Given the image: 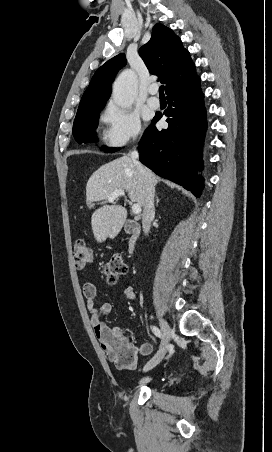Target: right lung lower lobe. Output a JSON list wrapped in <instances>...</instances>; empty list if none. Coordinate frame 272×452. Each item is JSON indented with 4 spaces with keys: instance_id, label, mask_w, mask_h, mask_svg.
Masks as SVG:
<instances>
[{
    "instance_id": "1",
    "label": "right lung lower lobe",
    "mask_w": 272,
    "mask_h": 452,
    "mask_svg": "<svg viewBox=\"0 0 272 452\" xmlns=\"http://www.w3.org/2000/svg\"><path fill=\"white\" fill-rule=\"evenodd\" d=\"M165 111L168 129L157 130L154 117L140 141V161L157 175L169 179L199 197L204 185L196 175L202 168V145L206 131V110L196 76L167 95Z\"/></svg>"
}]
</instances>
